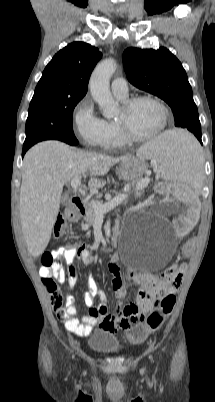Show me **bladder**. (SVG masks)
Here are the masks:
<instances>
[{
  "label": "bladder",
  "instance_id": "1",
  "mask_svg": "<svg viewBox=\"0 0 215 402\" xmlns=\"http://www.w3.org/2000/svg\"><path fill=\"white\" fill-rule=\"evenodd\" d=\"M90 349L101 353H114L120 349L118 338L106 329L96 330L88 339Z\"/></svg>",
  "mask_w": 215,
  "mask_h": 402
}]
</instances>
